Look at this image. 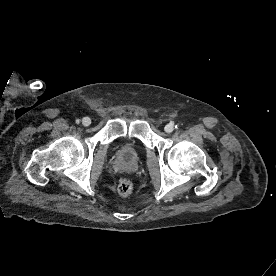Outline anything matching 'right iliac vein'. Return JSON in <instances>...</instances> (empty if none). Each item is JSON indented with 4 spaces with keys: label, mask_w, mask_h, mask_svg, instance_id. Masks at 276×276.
<instances>
[{
    "label": "right iliac vein",
    "mask_w": 276,
    "mask_h": 276,
    "mask_svg": "<svg viewBox=\"0 0 276 276\" xmlns=\"http://www.w3.org/2000/svg\"><path fill=\"white\" fill-rule=\"evenodd\" d=\"M82 124H83L84 126H89V125L91 124V119H90L89 117H84V118L82 119Z\"/></svg>",
    "instance_id": "63e3f726"
}]
</instances>
